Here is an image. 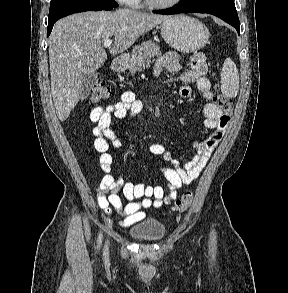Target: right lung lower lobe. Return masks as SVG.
<instances>
[{"instance_id":"98d812e1","label":"right lung lower lobe","mask_w":288,"mask_h":293,"mask_svg":"<svg viewBox=\"0 0 288 293\" xmlns=\"http://www.w3.org/2000/svg\"><path fill=\"white\" fill-rule=\"evenodd\" d=\"M114 7L111 8H103V7H98V6H92V5H84V6H78L74 7L68 10H65L51 18H48V27H47V36L50 35L54 23L59 20L62 17H65L67 15L73 14V13H78V12H84V11H100V10H112Z\"/></svg>"}]
</instances>
